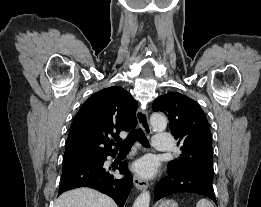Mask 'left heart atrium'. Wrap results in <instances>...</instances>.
<instances>
[{
	"label": "left heart atrium",
	"instance_id": "1",
	"mask_svg": "<svg viewBox=\"0 0 261 207\" xmlns=\"http://www.w3.org/2000/svg\"><path fill=\"white\" fill-rule=\"evenodd\" d=\"M156 169V161L150 156L141 158L133 165L134 172L145 178L152 177L156 173Z\"/></svg>",
	"mask_w": 261,
	"mask_h": 207
}]
</instances>
